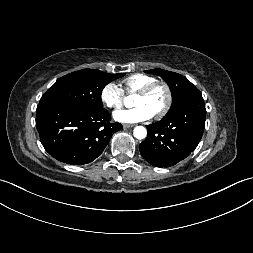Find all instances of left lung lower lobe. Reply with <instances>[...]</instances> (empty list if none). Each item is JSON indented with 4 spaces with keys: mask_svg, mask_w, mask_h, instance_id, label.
Here are the masks:
<instances>
[{
    "mask_svg": "<svg viewBox=\"0 0 253 253\" xmlns=\"http://www.w3.org/2000/svg\"><path fill=\"white\" fill-rule=\"evenodd\" d=\"M206 109L198 90L162 120L147 125L141 155L153 166L170 167L185 159L197 147L205 128Z\"/></svg>",
    "mask_w": 253,
    "mask_h": 253,
    "instance_id": "left-lung-lower-lobe-1",
    "label": "left lung lower lobe"
}]
</instances>
